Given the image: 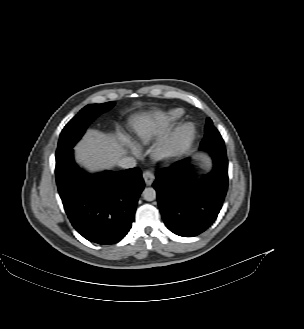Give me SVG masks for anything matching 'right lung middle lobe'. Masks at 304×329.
<instances>
[{
	"label": "right lung middle lobe",
	"mask_w": 304,
	"mask_h": 329,
	"mask_svg": "<svg viewBox=\"0 0 304 329\" xmlns=\"http://www.w3.org/2000/svg\"><path fill=\"white\" fill-rule=\"evenodd\" d=\"M113 106L114 102L90 104L85 106L62 130L56 151V157L71 150L80 140L90 123L100 114L108 111Z\"/></svg>",
	"instance_id": "1"
}]
</instances>
